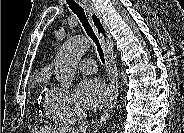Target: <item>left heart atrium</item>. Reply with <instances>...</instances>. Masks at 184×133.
<instances>
[{
  "label": "left heart atrium",
  "instance_id": "left-heart-atrium-1",
  "mask_svg": "<svg viewBox=\"0 0 184 133\" xmlns=\"http://www.w3.org/2000/svg\"><path fill=\"white\" fill-rule=\"evenodd\" d=\"M76 96L79 104L84 108L96 110L106 102L108 89L100 79H85L78 85Z\"/></svg>",
  "mask_w": 184,
  "mask_h": 133
}]
</instances>
